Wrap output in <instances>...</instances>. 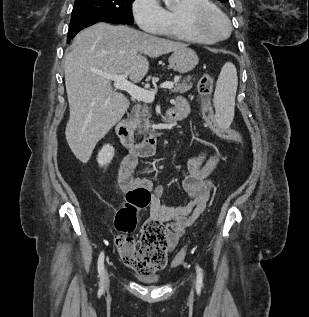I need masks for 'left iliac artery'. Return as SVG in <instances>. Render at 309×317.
<instances>
[{
  "instance_id": "44dca946",
  "label": "left iliac artery",
  "mask_w": 309,
  "mask_h": 317,
  "mask_svg": "<svg viewBox=\"0 0 309 317\" xmlns=\"http://www.w3.org/2000/svg\"><path fill=\"white\" fill-rule=\"evenodd\" d=\"M196 272H197L196 286H197V289L200 290L202 286L203 274H202V269L200 268L199 265H196Z\"/></svg>"
}]
</instances>
